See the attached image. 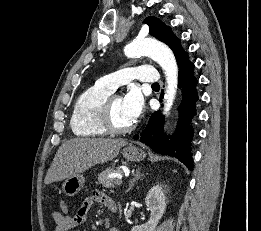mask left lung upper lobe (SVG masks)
Segmentation results:
<instances>
[{
    "instance_id": "left-lung-upper-lobe-1",
    "label": "left lung upper lobe",
    "mask_w": 261,
    "mask_h": 231,
    "mask_svg": "<svg viewBox=\"0 0 261 231\" xmlns=\"http://www.w3.org/2000/svg\"><path fill=\"white\" fill-rule=\"evenodd\" d=\"M149 26V32L158 40L167 44L175 54L177 62L186 54L180 44V40L173 34L170 27L166 26L160 19L149 16L144 21Z\"/></svg>"
}]
</instances>
